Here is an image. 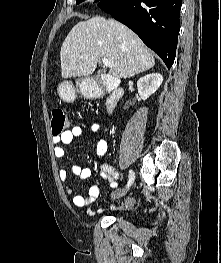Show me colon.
Segmentation results:
<instances>
[{"label": "colon", "instance_id": "colon-1", "mask_svg": "<svg viewBox=\"0 0 221 263\" xmlns=\"http://www.w3.org/2000/svg\"><path fill=\"white\" fill-rule=\"evenodd\" d=\"M68 124V117L63 110H53L51 118V131L54 137L61 136L68 127Z\"/></svg>", "mask_w": 221, "mask_h": 263}]
</instances>
